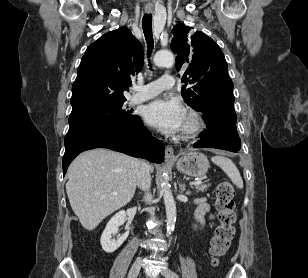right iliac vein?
<instances>
[{
	"label": "right iliac vein",
	"mask_w": 308,
	"mask_h": 278,
	"mask_svg": "<svg viewBox=\"0 0 308 278\" xmlns=\"http://www.w3.org/2000/svg\"><path fill=\"white\" fill-rule=\"evenodd\" d=\"M142 265V258L139 257L137 258V260L134 262V264L132 265L129 273H128V278H137L140 268Z\"/></svg>",
	"instance_id": "right-iliac-vein-1"
}]
</instances>
